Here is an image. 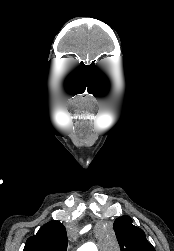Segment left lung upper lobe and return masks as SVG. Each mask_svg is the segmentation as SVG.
I'll return each mask as SVG.
<instances>
[{
	"instance_id": "left-lung-upper-lobe-1",
	"label": "left lung upper lobe",
	"mask_w": 174,
	"mask_h": 251,
	"mask_svg": "<svg viewBox=\"0 0 174 251\" xmlns=\"http://www.w3.org/2000/svg\"><path fill=\"white\" fill-rule=\"evenodd\" d=\"M114 230L121 251H155L147 241L145 233L132 224L129 216H122L115 220Z\"/></svg>"
}]
</instances>
